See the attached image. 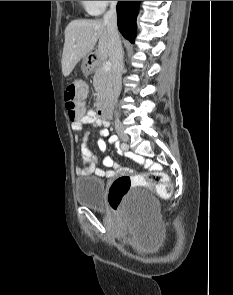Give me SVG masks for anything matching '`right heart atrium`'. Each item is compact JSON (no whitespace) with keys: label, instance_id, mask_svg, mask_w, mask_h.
Wrapping results in <instances>:
<instances>
[{"label":"right heart atrium","instance_id":"d8ad5b80","mask_svg":"<svg viewBox=\"0 0 233 295\" xmlns=\"http://www.w3.org/2000/svg\"><path fill=\"white\" fill-rule=\"evenodd\" d=\"M114 2L116 1H86L87 11L92 15H98Z\"/></svg>","mask_w":233,"mask_h":295}]
</instances>
